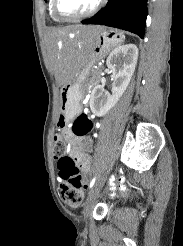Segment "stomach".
<instances>
[{
    "label": "stomach",
    "instance_id": "obj_1",
    "mask_svg": "<svg viewBox=\"0 0 183 246\" xmlns=\"http://www.w3.org/2000/svg\"><path fill=\"white\" fill-rule=\"evenodd\" d=\"M124 40V35L118 30L102 27L87 55L86 62L81 65L77 78L72 83H66L60 91L61 108L57 125L62 128L76 116L80 110V99L82 97V84L88 79L91 66L99 58L106 55L114 46L119 45Z\"/></svg>",
    "mask_w": 183,
    "mask_h": 246
}]
</instances>
